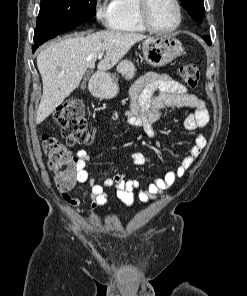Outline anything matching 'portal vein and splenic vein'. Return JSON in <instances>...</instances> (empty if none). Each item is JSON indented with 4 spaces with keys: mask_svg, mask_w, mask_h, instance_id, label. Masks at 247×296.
I'll return each instance as SVG.
<instances>
[{
    "mask_svg": "<svg viewBox=\"0 0 247 296\" xmlns=\"http://www.w3.org/2000/svg\"><path fill=\"white\" fill-rule=\"evenodd\" d=\"M103 55H104V53H99L98 56H97L98 59H102Z\"/></svg>",
    "mask_w": 247,
    "mask_h": 296,
    "instance_id": "obj_1",
    "label": "portal vein and splenic vein"
}]
</instances>
